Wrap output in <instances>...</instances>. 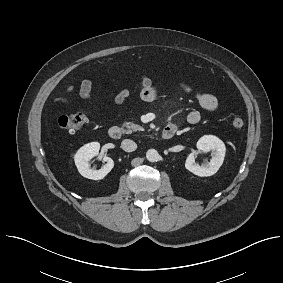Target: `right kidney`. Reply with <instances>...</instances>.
Instances as JSON below:
<instances>
[{"instance_id": "right-kidney-1", "label": "right kidney", "mask_w": 283, "mask_h": 283, "mask_svg": "<svg viewBox=\"0 0 283 283\" xmlns=\"http://www.w3.org/2000/svg\"><path fill=\"white\" fill-rule=\"evenodd\" d=\"M100 144L98 142H91L81 147L75 154L74 160L79 173L88 179L100 180L103 179L114 167V161L104 156L103 161L106 164L99 170L90 168V160L98 155Z\"/></svg>"}]
</instances>
